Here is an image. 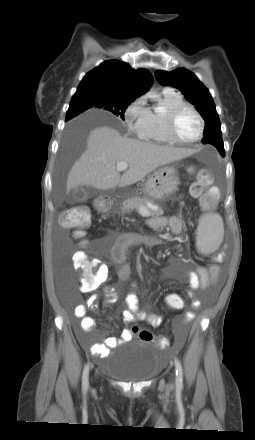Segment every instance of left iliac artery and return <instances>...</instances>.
<instances>
[{"label": "left iliac artery", "instance_id": "44dca946", "mask_svg": "<svg viewBox=\"0 0 255 440\" xmlns=\"http://www.w3.org/2000/svg\"><path fill=\"white\" fill-rule=\"evenodd\" d=\"M175 369H176V386L178 389L183 387V369L180 361L175 359Z\"/></svg>", "mask_w": 255, "mask_h": 440}]
</instances>
